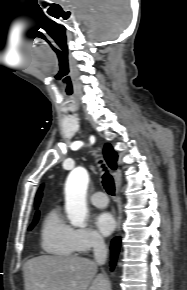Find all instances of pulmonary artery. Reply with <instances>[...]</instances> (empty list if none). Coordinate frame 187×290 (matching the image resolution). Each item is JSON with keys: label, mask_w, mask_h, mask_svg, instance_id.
I'll use <instances>...</instances> for the list:
<instances>
[{"label": "pulmonary artery", "mask_w": 187, "mask_h": 290, "mask_svg": "<svg viewBox=\"0 0 187 290\" xmlns=\"http://www.w3.org/2000/svg\"><path fill=\"white\" fill-rule=\"evenodd\" d=\"M90 201L93 205L97 206V207H105L108 204V199L105 193L99 191L94 193L91 198Z\"/></svg>", "instance_id": "1"}]
</instances>
